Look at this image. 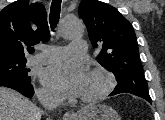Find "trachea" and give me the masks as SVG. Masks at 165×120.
I'll return each instance as SVG.
<instances>
[{
    "label": "trachea",
    "mask_w": 165,
    "mask_h": 120,
    "mask_svg": "<svg viewBox=\"0 0 165 120\" xmlns=\"http://www.w3.org/2000/svg\"><path fill=\"white\" fill-rule=\"evenodd\" d=\"M60 11H61V0H52L50 7V16H49V22L52 31H54V29L56 28L59 22Z\"/></svg>",
    "instance_id": "1"
}]
</instances>
